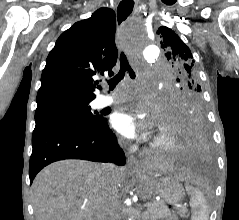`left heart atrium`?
Listing matches in <instances>:
<instances>
[{"label":"left heart atrium","mask_w":239,"mask_h":220,"mask_svg":"<svg viewBox=\"0 0 239 220\" xmlns=\"http://www.w3.org/2000/svg\"><path fill=\"white\" fill-rule=\"evenodd\" d=\"M126 99L135 104V113L129 114L121 111L114 114L112 118L114 128L129 139L150 138L158 119L157 112L148 109L146 100L137 94L130 95Z\"/></svg>","instance_id":"39dd6f15"}]
</instances>
